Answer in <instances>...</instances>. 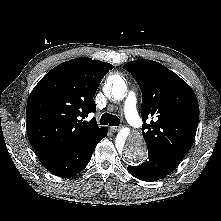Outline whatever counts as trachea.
I'll return each mask as SVG.
<instances>
[{
	"mask_svg": "<svg viewBox=\"0 0 221 221\" xmlns=\"http://www.w3.org/2000/svg\"><path fill=\"white\" fill-rule=\"evenodd\" d=\"M100 124L101 125H108L109 124L111 126H118L120 124V120L115 115H110L109 113H104L101 116Z\"/></svg>",
	"mask_w": 221,
	"mask_h": 221,
	"instance_id": "3493384b",
	"label": "trachea"
}]
</instances>
